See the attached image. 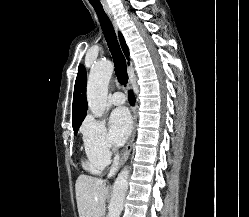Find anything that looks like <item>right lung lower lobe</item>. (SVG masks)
Segmentation results:
<instances>
[{"label": "right lung lower lobe", "instance_id": "1", "mask_svg": "<svg viewBox=\"0 0 249 217\" xmlns=\"http://www.w3.org/2000/svg\"><path fill=\"white\" fill-rule=\"evenodd\" d=\"M129 101H130L131 105H134L135 98H134V95L131 91L129 92Z\"/></svg>", "mask_w": 249, "mask_h": 217}]
</instances>
